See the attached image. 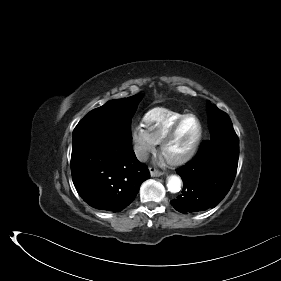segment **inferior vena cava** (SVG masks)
<instances>
[{
	"label": "inferior vena cava",
	"mask_w": 281,
	"mask_h": 281,
	"mask_svg": "<svg viewBox=\"0 0 281 281\" xmlns=\"http://www.w3.org/2000/svg\"><path fill=\"white\" fill-rule=\"evenodd\" d=\"M134 152L136 154V157L139 161L144 162L148 159L149 153L147 150L141 146H135Z\"/></svg>",
	"instance_id": "obj_1"
}]
</instances>
